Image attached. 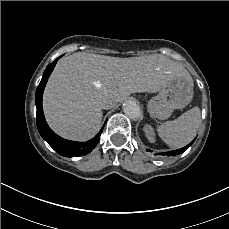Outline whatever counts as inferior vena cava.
<instances>
[{
    "mask_svg": "<svg viewBox=\"0 0 229 229\" xmlns=\"http://www.w3.org/2000/svg\"><path fill=\"white\" fill-rule=\"evenodd\" d=\"M102 108L103 109H109V108H111V106L108 104V102L106 101V102H104V103H102Z\"/></svg>",
    "mask_w": 229,
    "mask_h": 229,
    "instance_id": "inferior-vena-cava-1",
    "label": "inferior vena cava"
}]
</instances>
